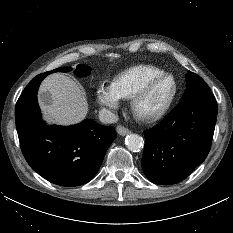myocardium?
<instances>
[{
    "label": "myocardium",
    "instance_id": "obj_1",
    "mask_svg": "<svg viewBox=\"0 0 233 233\" xmlns=\"http://www.w3.org/2000/svg\"><path fill=\"white\" fill-rule=\"evenodd\" d=\"M165 79L172 81V92L166 102L158 110L154 112H144L141 109V103L150 94L154 87ZM178 93V84L173 75L164 73L157 77L152 78L146 84H144L131 98V109L137 119L143 122H155L161 119L171 108Z\"/></svg>",
    "mask_w": 233,
    "mask_h": 233
}]
</instances>
